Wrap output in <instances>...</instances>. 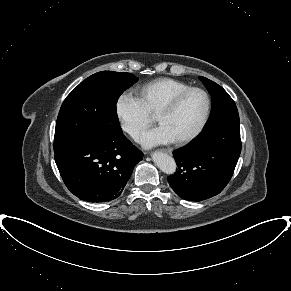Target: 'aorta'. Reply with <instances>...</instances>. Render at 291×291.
<instances>
[{
	"label": "aorta",
	"mask_w": 291,
	"mask_h": 291,
	"mask_svg": "<svg viewBox=\"0 0 291 291\" xmlns=\"http://www.w3.org/2000/svg\"><path fill=\"white\" fill-rule=\"evenodd\" d=\"M154 163L166 174H174L177 168L176 162L170 155L156 151L152 154Z\"/></svg>",
	"instance_id": "aorta-1"
}]
</instances>
